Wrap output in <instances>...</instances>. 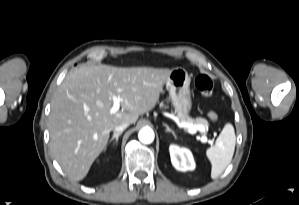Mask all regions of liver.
Listing matches in <instances>:
<instances>
[{"instance_id": "6515ba94", "label": "liver", "mask_w": 299, "mask_h": 205, "mask_svg": "<svg viewBox=\"0 0 299 205\" xmlns=\"http://www.w3.org/2000/svg\"><path fill=\"white\" fill-rule=\"evenodd\" d=\"M170 71L83 65L65 77L51 100L48 129L51 151L71 180L86 177L116 126L134 124L156 106ZM114 95L123 101L112 114Z\"/></svg>"}]
</instances>
